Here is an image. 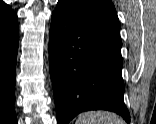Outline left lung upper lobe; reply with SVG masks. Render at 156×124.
Segmentation results:
<instances>
[{"mask_svg": "<svg viewBox=\"0 0 156 124\" xmlns=\"http://www.w3.org/2000/svg\"><path fill=\"white\" fill-rule=\"evenodd\" d=\"M67 7L91 21L104 25L120 34V24L110 0H62Z\"/></svg>", "mask_w": 156, "mask_h": 124, "instance_id": "1", "label": "left lung upper lobe"}]
</instances>
